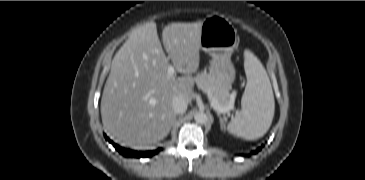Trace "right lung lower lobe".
<instances>
[{
	"mask_svg": "<svg viewBox=\"0 0 365 180\" xmlns=\"http://www.w3.org/2000/svg\"><path fill=\"white\" fill-rule=\"evenodd\" d=\"M104 136H105L106 140H108L111 144H113L115 149L125 157H137V158L150 157V156L157 154L158 151L161 150V149H158V150L149 151V152H137L134 150L125 149L123 147H120L117 144L113 143L111 140H109V138L106 135H104Z\"/></svg>",
	"mask_w": 365,
	"mask_h": 180,
	"instance_id": "98d812e1",
	"label": "right lung lower lobe"
}]
</instances>
